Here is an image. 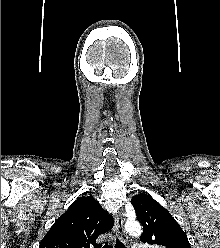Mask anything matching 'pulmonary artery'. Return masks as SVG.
Returning a JSON list of instances; mask_svg holds the SVG:
<instances>
[{
  "instance_id": "pulmonary-artery-1",
  "label": "pulmonary artery",
  "mask_w": 220,
  "mask_h": 248,
  "mask_svg": "<svg viewBox=\"0 0 220 248\" xmlns=\"http://www.w3.org/2000/svg\"><path fill=\"white\" fill-rule=\"evenodd\" d=\"M132 248H146V246L144 244L137 243Z\"/></svg>"
}]
</instances>
